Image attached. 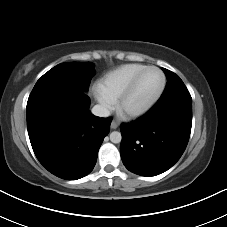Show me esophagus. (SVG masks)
<instances>
[{"instance_id":"esophagus-1","label":"esophagus","mask_w":227,"mask_h":227,"mask_svg":"<svg viewBox=\"0 0 227 227\" xmlns=\"http://www.w3.org/2000/svg\"><path fill=\"white\" fill-rule=\"evenodd\" d=\"M118 126H119L118 122L115 121V120H113V121L111 122L110 128H111V129H117Z\"/></svg>"}]
</instances>
